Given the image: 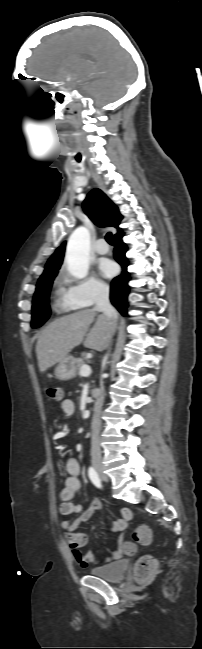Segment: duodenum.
<instances>
[{
	"label": "duodenum",
	"instance_id": "1",
	"mask_svg": "<svg viewBox=\"0 0 202 649\" xmlns=\"http://www.w3.org/2000/svg\"><path fill=\"white\" fill-rule=\"evenodd\" d=\"M91 394H92V397H93V398H94L95 400H97V399H99V398H100V394H99V392H96V391H92V393H91Z\"/></svg>",
	"mask_w": 202,
	"mask_h": 649
}]
</instances>
